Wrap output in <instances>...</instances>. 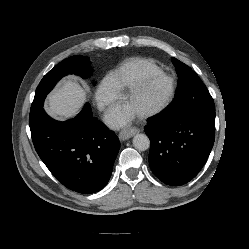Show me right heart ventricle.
Segmentation results:
<instances>
[{
  "mask_svg": "<svg viewBox=\"0 0 249 249\" xmlns=\"http://www.w3.org/2000/svg\"><path fill=\"white\" fill-rule=\"evenodd\" d=\"M160 73L163 70L152 60L136 57L123 62L109 77L118 91H124L142 79Z\"/></svg>",
  "mask_w": 249,
  "mask_h": 249,
  "instance_id": "e07e8e85",
  "label": "right heart ventricle"
}]
</instances>
